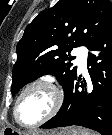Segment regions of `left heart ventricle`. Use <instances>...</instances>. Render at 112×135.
Wrapping results in <instances>:
<instances>
[{
    "mask_svg": "<svg viewBox=\"0 0 112 135\" xmlns=\"http://www.w3.org/2000/svg\"><path fill=\"white\" fill-rule=\"evenodd\" d=\"M55 103L54 92L46 86H37L28 90L19 105V114L26 123H34L45 117Z\"/></svg>",
    "mask_w": 112,
    "mask_h": 135,
    "instance_id": "left-heart-ventricle-1",
    "label": "left heart ventricle"
}]
</instances>
